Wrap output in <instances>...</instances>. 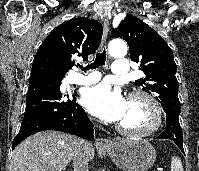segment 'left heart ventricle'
<instances>
[{
    "mask_svg": "<svg viewBox=\"0 0 199 171\" xmlns=\"http://www.w3.org/2000/svg\"><path fill=\"white\" fill-rule=\"evenodd\" d=\"M150 122L148 105L140 99H133L127 101L125 113L118 123L130 129H140L148 126Z\"/></svg>",
    "mask_w": 199,
    "mask_h": 171,
    "instance_id": "b2bd125f",
    "label": "left heart ventricle"
}]
</instances>
